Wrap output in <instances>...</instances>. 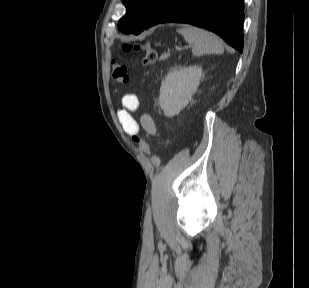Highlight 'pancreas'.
Wrapping results in <instances>:
<instances>
[{"mask_svg": "<svg viewBox=\"0 0 309 288\" xmlns=\"http://www.w3.org/2000/svg\"><path fill=\"white\" fill-rule=\"evenodd\" d=\"M169 57V54H162L161 55V59L164 60V59H167Z\"/></svg>", "mask_w": 309, "mask_h": 288, "instance_id": "cf45deb5", "label": "pancreas"}]
</instances>
